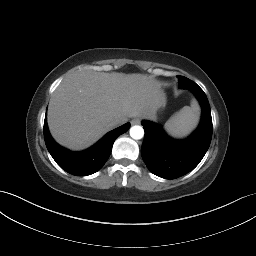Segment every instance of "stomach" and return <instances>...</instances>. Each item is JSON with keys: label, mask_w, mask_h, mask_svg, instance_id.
<instances>
[{"label": "stomach", "mask_w": 256, "mask_h": 256, "mask_svg": "<svg viewBox=\"0 0 256 256\" xmlns=\"http://www.w3.org/2000/svg\"><path fill=\"white\" fill-rule=\"evenodd\" d=\"M165 105H166V101H164L158 108V110H162L165 108Z\"/></svg>", "instance_id": "obj_1"}]
</instances>
